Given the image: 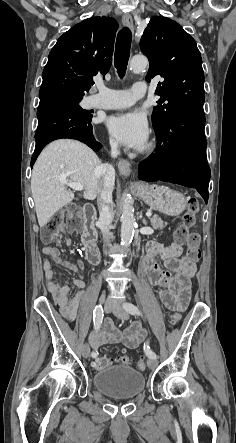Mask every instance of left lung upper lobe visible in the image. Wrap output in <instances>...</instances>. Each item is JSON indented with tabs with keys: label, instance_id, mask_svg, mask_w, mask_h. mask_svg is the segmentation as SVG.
Listing matches in <instances>:
<instances>
[{
	"label": "left lung upper lobe",
	"instance_id": "obj_1",
	"mask_svg": "<svg viewBox=\"0 0 236 443\" xmlns=\"http://www.w3.org/2000/svg\"><path fill=\"white\" fill-rule=\"evenodd\" d=\"M149 59L146 81L159 75L156 94L161 98L154 107L152 124L160 129L167 117L184 107L204 104V72L195 40L175 21L155 16L149 21L140 41Z\"/></svg>",
	"mask_w": 236,
	"mask_h": 443
}]
</instances>
